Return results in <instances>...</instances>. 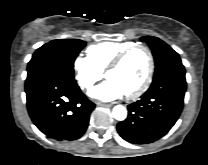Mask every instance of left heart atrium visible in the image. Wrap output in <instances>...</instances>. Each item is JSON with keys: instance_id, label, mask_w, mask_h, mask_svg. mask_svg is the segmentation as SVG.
<instances>
[{"instance_id": "1", "label": "left heart atrium", "mask_w": 208, "mask_h": 165, "mask_svg": "<svg viewBox=\"0 0 208 165\" xmlns=\"http://www.w3.org/2000/svg\"><path fill=\"white\" fill-rule=\"evenodd\" d=\"M124 93L119 86L111 79L106 80L101 85L91 91V96L101 100H113Z\"/></svg>"}]
</instances>
